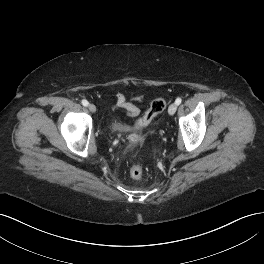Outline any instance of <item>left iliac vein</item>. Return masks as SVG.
<instances>
[{
	"label": "left iliac vein",
	"mask_w": 264,
	"mask_h": 264,
	"mask_svg": "<svg viewBox=\"0 0 264 264\" xmlns=\"http://www.w3.org/2000/svg\"><path fill=\"white\" fill-rule=\"evenodd\" d=\"M177 110V104L176 103H172L169 108H168V113L170 115H173Z\"/></svg>",
	"instance_id": "obj_1"
}]
</instances>
